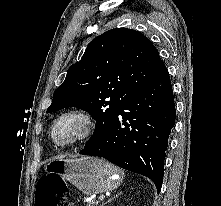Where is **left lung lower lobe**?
Segmentation results:
<instances>
[{
  "label": "left lung lower lobe",
  "instance_id": "0a47b994",
  "mask_svg": "<svg viewBox=\"0 0 221 206\" xmlns=\"http://www.w3.org/2000/svg\"><path fill=\"white\" fill-rule=\"evenodd\" d=\"M175 115L172 86L166 70L136 92L122 106L110 129L79 154L103 157L119 167L144 175L155 183L159 192Z\"/></svg>",
  "mask_w": 221,
  "mask_h": 206
}]
</instances>
